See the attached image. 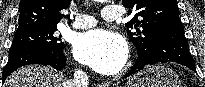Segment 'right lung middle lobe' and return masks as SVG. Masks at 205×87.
Returning a JSON list of instances; mask_svg holds the SVG:
<instances>
[{
    "instance_id": "1",
    "label": "right lung middle lobe",
    "mask_w": 205,
    "mask_h": 87,
    "mask_svg": "<svg viewBox=\"0 0 205 87\" xmlns=\"http://www.w3.org/2000/svg\"><path fill=\"white\" fill-rule=\"evenodd\" d=\"M56 30L57 28H49L16 32L11 47L37 46L59 52L63 48V42H60L61 38L56 35Z\"/></svg>"
}]
</instances>
